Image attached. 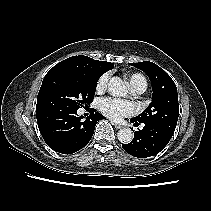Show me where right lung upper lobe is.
I'll use <instances>...</instances> for the list:
<instances>
[{"label":"right lung upper lobe","mask_w":211,"mask_h":211,"mask_svg":"<svg viewBox=\"0 0 211 211\" xmlns=\"http://www.w3.org/2000/svg\"><path fill=\"white\" fill-rule=\"evenodd\" d=\"M55 66L71 67L82 70L93 76H101L114 67L113 63L94 60L87 56H73L67 58Z\"/></svg>","instance_id":"right-lung-upper-lobe-1"}]
</instances>
